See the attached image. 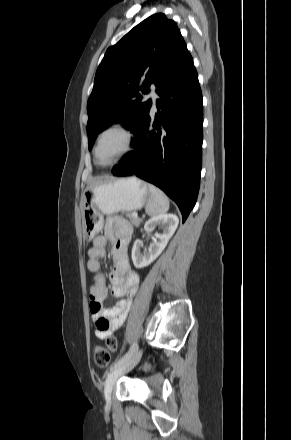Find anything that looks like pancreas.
I'll use <instances>...</instances> for the list:
<instances>
[{"instance_id":"pancreas-1","label":"pancreas","mask_w":291,"mask_h":440,"mask_svg":"<svg viewBox=\"0 0 291 440\" xmlns=\"http://www.w3.org/2000/svg\"><path fill=\"white\" fill-rule=\"evenodd\" d=\"M126 217L130 220V222L134 225V226H136V227H138L139 225H140V223L142 222V219H140V218H136V217H133L132 216V214L131 213H126Z\"/></svg>"}]
</instances>
